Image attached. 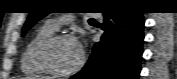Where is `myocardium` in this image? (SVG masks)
I'll return each instance as SVG.
<instances>
[{
  "instance_id": "myocardium-1",
  "label": "myocardium",
  "mask_w": 177,
  "mask_h": 79,
  "mask_svg": "<svg viewBox=\"0 0 177 79\" xmlns=\"http://www.w3.org/2000/svg\"><path fill=\"white\" fill-rule=\"evenodd\" d=\"M64 40H70L75 42L78 45L79 51H80V60L78 64L67 71H59L55 69L48 61V51L49 49ZM36 61L39 64V66L47 73L55 76H62V77H67L70 75H73L80 71L85 63V55L83 52V49L81 48L77 38L71 34H54L53 36L47 38L44 40L39 47L37 48L36 51Z\"/></svg>"
}]
</instances>
